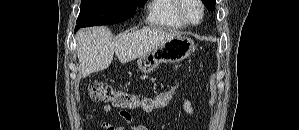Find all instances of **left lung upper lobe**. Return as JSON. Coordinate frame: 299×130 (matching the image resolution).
Wrapping results in <instances>:
<instances>
[{
    "mask_svg": "<svg viewBox=\"0 0 299 130\" xmlns=\"http://www.w3.org/2000/svg\"><path fill=\"white\" fill-rule=\"evenodd\" d=\"M202 2L204 3V5L209 9V10H213L215 7V0H202Z\"/></svg>",
    "mask_w": 299,
    "mask_h": 130,
    "instance_id": "1",
    "label": "left lung upper lobe"
}]
</instances>
